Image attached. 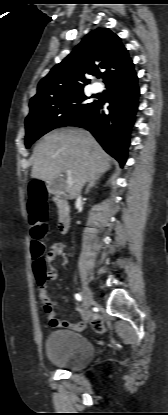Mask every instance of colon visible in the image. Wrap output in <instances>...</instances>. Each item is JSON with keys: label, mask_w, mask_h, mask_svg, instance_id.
I'll return each mask as SVG.
<instances>
[{"label": "colon", "mask_w": 168, "mask_h": 415, "mask_svg": "<svg viewBox=\"0 0 168 415\" xmlns=\"http://www.w3.org/2000/svg\"><path fill=\"white\" fill-rule=\"evenodd\" d=\"M28 213L30 222V235L32 238L31 253L34 259L33 269L41 286L50 279L47 271L48 255H45V246L42 240L47 234V204L46 195L41 185L32 184L29 187ZM92 327L96 332H106V324L102 316L92 318Z\"/></svg>", "instance_id": "1"}]
</instances>
